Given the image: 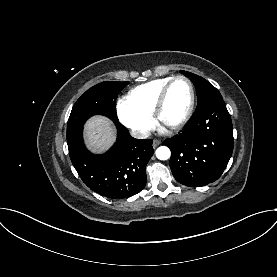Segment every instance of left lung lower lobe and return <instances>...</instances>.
Instances as JSON below:
<instances>
[{
	"label": "left lung lower lobe",
	"mask_w": 277,
	"mask_h": 277,
	"mask_svg": "<svg viewBox=\"0 0 277 277\" xmlns=\"http://www.w3.org/2000/svg\"><path fill=\"white\" fill-rule=\"evenodd\" d=\"M164 144L171 150L170 168L175 179L189 187L217 180L233 151V126L222 97L196 109L188 126Z\"/></svg>",
	"instance_id": "1"
}]
</instances>
